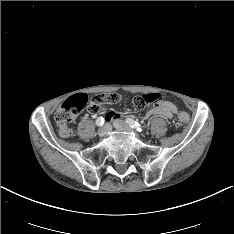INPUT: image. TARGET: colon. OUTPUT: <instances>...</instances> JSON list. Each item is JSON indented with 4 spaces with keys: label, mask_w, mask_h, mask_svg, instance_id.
I'll return each mask as SVG.
<instances>
[{
    "label": "colon",
    "mask_w": 234,
    "mask_h": 234,
    "mask_svg": "<svg viewBox=\"0 0 234 234\" xmlns=\"http://www.w3.org/2000/svg\"><path fill=\"white\" fill-rule=\"evenodd\" d=\"M92 99L93 97L89 99L88 96L85 94H76L65 100L60 105V107L57 109L55 113V122L59 128V135L62 138L67 139L72 136L73 131L69 127V124L76 118V116L80 111H82L85 107L88 106L89 102H91ZM188 120H189L188 114L184 112L179 114L178 121L181 124L187 123Z\"/></svg>",
    "instance_id": "5ec220e1"
}]
</instances>
